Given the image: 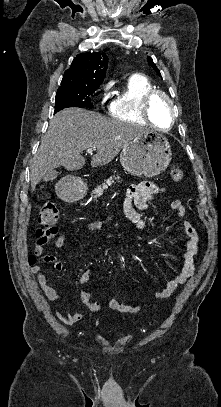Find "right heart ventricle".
<instances>
[{"instance_id": "e07e8e85", "label": "right heart ventricle", "mask_w": 221, "mask_h": 407, "mask_svg": "<svg viewBox=\"0 0 221 407\" xmlns=\"http://www.w3.org/2000/svg\"><path fill=\"white\" fill-rule=\"evenodd\" d=\"M152 90L155 87L147 77L132 76L123 91L110 101L108 114L117 120L146 124L140 109L144 97Z\"/></svg>"}]
</instances>
